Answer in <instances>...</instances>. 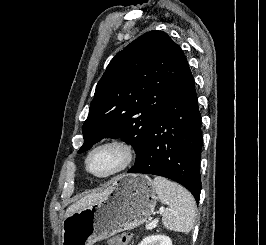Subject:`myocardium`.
<instances>
[{
	"mask_svg": "<svg viewBox=\"0 0 266 245\" xmlns=\"http://www.w3.org/2000/svg\"><path fill=\"white\" fill-rule=\"evenodd\" d=\"M108 145H115L118 146L119 148L122 149L123 154H124V160L122 165L114 172L107 174V175H96L94 173H92L89 168H88V161L91 157V155L99 148L104 147V146H108ZM135 159V151L133 146L128 143L127 141L120 139V138H107L104 139L98 143H96L94 146H92L86 153L85 158H84V162H83V166H84V171L85 173L93 178V179H97V180H109L115 177L120 176L121 174L125 173L127 170L130 169L133 161Z\"/></svg>",
	"mask_w": 266,
	"mask_h": 245,
	"instance_id": "myocardium-1",
	"label": "myocardium"
}]
</instances>
